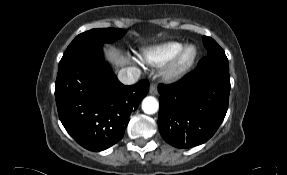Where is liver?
Returning a JSON list of instances; mask_svg holds the SVG:
<instances>
[{
	"mask_svg": "<svg viewBox=\"0 0 287 175\" xmlns=\"http://www.w3.org/2000/svg\"><path fill=\"white\" fill-rule=\"evenodd\" d=\"M106 57L116 66L126 65L129 60L121 56L116 50L108 48L105 50Z\"/></svg>",
	"mask_w": 287,
	"mask_h": 175,
	"instance_id": "1",
	"label": "liver"
}]
</instances>
